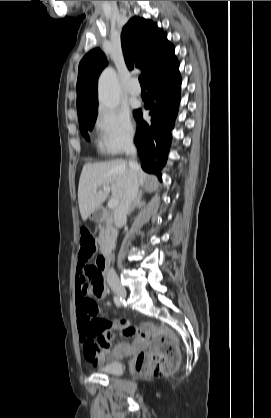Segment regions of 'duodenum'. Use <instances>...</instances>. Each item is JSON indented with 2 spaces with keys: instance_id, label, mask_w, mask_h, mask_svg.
Here are the masks:
<instances>
[{
  "instance_id": "duodenum-1",
  "label": "duodenum",
  "mask_w": 271,
  "mask_h": 418,
  "mask_svg": "<svg viewBox=\"0 0 271 418\" xmlns=\"http://www.w3.org/2000/svg\"><path fill=\"white\" fill-rule=\"evenodd\" d=\"M108 217H109L108 214L104 211H96L93 214V218L95 221H103L107 219ZM111 250H112V245L111 243H108L107 245H105L101 255L97 259L96 264L97 266L102 267V274H105L108 270L109 262L111 258Z\"/></svg>"
}]
</instances>
